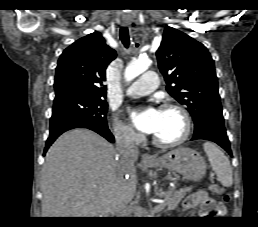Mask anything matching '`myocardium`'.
Here are the masks:
<instances>
[{
  "instance_id": "f54148a6",
  "label": "myocardium",
  "mask_w": 258,
  "mask_h": 227,
  "mask_svg": "<svg viewBox=\"0 0 258 227\" xmlns=\"http://www.w3.org/2000/svg\"><path fill=\"white\" fill-rule=\"evenodd\" d=\"M160 110H174L178 112L184 123V130L181 136L175 140L172 141H163L158 139L156 136H152V142L161 148H172L179 146L180 144L184 143L188 137L190 136L191 130H192V120L189 112L182 106L173 104V103H165L160 107Z\"/></svg>"
}]
</instances>
